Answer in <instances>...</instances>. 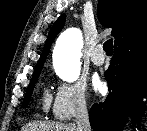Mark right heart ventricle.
I'll return each mask as SVG.
<instances>
[{
	"mask_svg": "<svg viewBox=\"0 0 147 131\" xmlns=\"http://www.w3.org/2000/svg\"><path fill=\"white\" fill-rule=\"evenodd\" d=\"M49 102H50V96H49L48 92L46 91L43 95V107H44V109L48 108Z\"/></svg>",
	"mask_w": 147,
	"mask_h": 131,
	"instance_id": "right-heart-ventricle-1",
	"label": "right heart ventricle"
}]
</instances>
